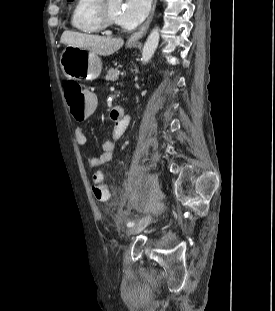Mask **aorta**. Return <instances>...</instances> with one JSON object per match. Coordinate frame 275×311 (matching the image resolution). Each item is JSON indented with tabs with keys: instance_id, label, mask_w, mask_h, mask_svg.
<instances>
[{
	"instance_id": "obj_1",
	"label": "aorta",
	"mask_w": 275,
	"mask_h": 311,
	"mask_svg": "<svg viewBox=\"0 0 275 311\" xmlns=\"http://www.w3.org/2000/svg\"><path fill=\"white\" fill-rule=\"evenodd\" d=\"M121 1V0H119ZM159 28H154L148 36L142 51V62L146 64L153 56L159 43Z\"/></svg>"
}]
</instances>
